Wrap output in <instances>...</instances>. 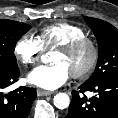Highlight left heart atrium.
<instances>
[{
	"instance_id": "1",
	"label": "left heart atrium",
	"mask_w": 118,
	"mask_h": 118,
	"mask_svg": "<svg viewBox=\"0 0 118 118\" xmlns=\"http://www.w3.org/2000/svg\"><path fill=\"white\" fill-rule=\"evenodd\" d=\"M70 72L62 63L43 65L28 74V81L38 87L54 90L62 86L69 78Z\"/></svg>"
}]
</instances>
